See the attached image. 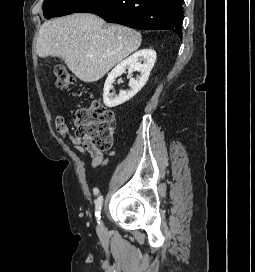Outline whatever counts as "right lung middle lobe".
<instances>
[{"mask_svg":"<svg viewBox=\"0 0 255 272\" xmlns=\"http://www.w3.org/2000/svg\"><path fill=\"white\" fill-rule=\"evenodd\" d=\"M90 0H45L43 5L44 17L50 19L75 13Z\"/></svg>","mask_w":255,"mask_h":272,"instance_id":"right-lung-middle-lobe-1","label":"right lung middle lobe"}]
</instances>
